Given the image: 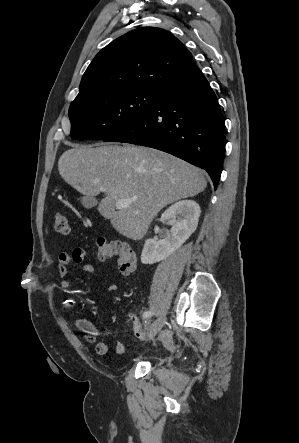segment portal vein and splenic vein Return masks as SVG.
Segmentation results:
<instances>
[{
	"mask_svg": "<svg viewBox=\"0 0 299 443\" xmlns=\"http://www.w3.org/2000/svg\"><path fill=\"white\" fill-rule=\"evenodd\" d=\"M100 191L106 193L107 190L105 188H100ZM132 201L133 200L129 199V198L119 199L116 202V207L118 209L126 208V207H128L132 203Z\"/></svg>",
	"mask_w": 299,
	"mask_h": 443,
	"instance_id": "obj_1",
	"label": "portal vein and splenic vein"
}]
</instances>
